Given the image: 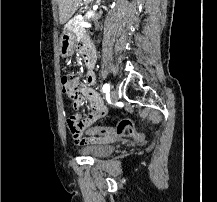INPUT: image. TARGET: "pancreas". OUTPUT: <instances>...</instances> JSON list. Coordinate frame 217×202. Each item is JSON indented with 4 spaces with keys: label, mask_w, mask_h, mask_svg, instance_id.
Listing matches in <instances>:
<instances>
[{
    "label": "pancreas",
    "mask_w": 217,
    "mask_h": 202,
    "mask_svg": "<svg viewBox=\"0 0 217 202\" xmlns=\"http://www.w3.org/2000/svg\"><path fill=\"white\" fill-rule=\"evenodd\" d=\"M76 22H80L77 17H74L73 22H70V24H67L66 28L67 30H70V32H73V34H76L77 39L80 41L82 40L84 34H86L85 28H82V26H79V24H76Z\"/></svg>",
    "instance_id": "obj_1"
}]
</instances>
